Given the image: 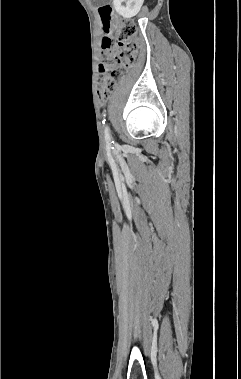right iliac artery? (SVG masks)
<instances>
[{
	"label": "right iliac artery",
	"instance_id": "1",
	"mask_svg": "<svg viewBox=\"0 0 241 379\" xmlns=\"http://www.w3.org/2000/svg\"><path fill=\"white\" fill-rule=\"evenodd\" d=\"M105 140H106L107 148L110 149L113 142L111 141V136H110L108 127L105 128Z\"/></svg>",
	"mask_w": 241,
	"mask_h": 379
}]
</instances>
